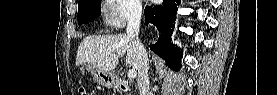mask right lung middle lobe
Wrapping results in <instances>:
<instances>
[{"mask_svg": "<svg viewBox=\"0 0 277 95\" xmlns=\"http://www.w3.org/2000/svg\"><path fill=\"white\" fill-rule=\"evenodd\" d=\"M101 0H81L78 3V23L93 21L101 13Z\"/></svg>", "mask_w": 277, "mask_h": 95, "instance_id": "1", "label": "right lung middle lobe"}]
</instances>
